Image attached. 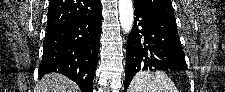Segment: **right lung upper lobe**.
<instances>
[{
	"label": "right lung upper lobe",
	"instance_id": "1",
	"mask_svg": "<svg viewBox=\"0 0 225 92\" xmlns=\"http://www.w3.org/2000/svg\"><path fill=\"white\" fill-rule=\"evenodd\" d=\"M101 13L100 0H50L46 31Z\"/></svg>",
	"mask_w": 225,
	"mask_h": 92
}]
</instances>
